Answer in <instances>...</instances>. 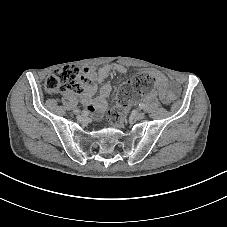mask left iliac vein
Masks as SVG:
<instances>
[{"label":"left iliac vein","instance_id":"1","mask_svg":"<svg viewBox=\"0 0 227 227\" xmlns=\"http://www.w3.org/2000/svg\"><path fill=\"white\" fill-rule=\"evenodd\" d=\"M132 116L135 120H142L145 117V113L143 111H136Z\"/></svg>","mask_w":227,"mask_h":227}]
</instances>
